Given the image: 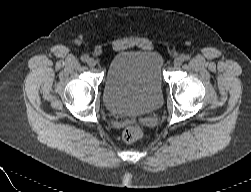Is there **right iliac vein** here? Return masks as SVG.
<instances>
[{"instance_id":"right-iliac-vein-1","label":"right iliac vein","mask_w":251,"mask_h":192,"mask_svg":"<svg viewBox=\"0 0 251 192\" xmlns=\"http://www.w3.org/2000/svg\"><path fill=\"white\" fill-rule=\"evenodd\" d=\"M87 64H88L90 67H95L96 64H97V62H96V60L93 59V58H88Z\"/></svg>"}]
</instances>
